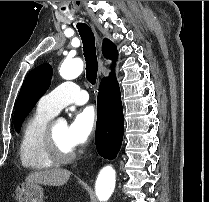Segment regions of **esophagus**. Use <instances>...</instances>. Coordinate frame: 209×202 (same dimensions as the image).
I'll use <instances>...</instances> for the list:
<instances>
[{
	"instance_id": "esophagus-1",
	"label": "esophagus",
	"mask_w": 209,
	"mask_h": 202,
	"mask_svg": "<svg viewBox=\"0 0 209 202\" xmlns=\"http://www.w3.org/2000/svg\"><path fill=\"white\" fill-rule=\"evenodd\" d=\"M96 40H97V44L100 47L101 41L100 38L98 37V35L96 34ZM99 66L100 68L103 70L104 69V65H103V60H102V56L101 53H99Z\"/></svg>"
}]
</instances>
